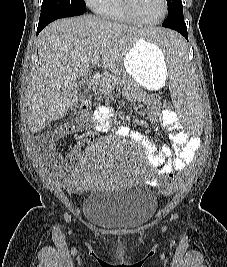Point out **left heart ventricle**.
<instances>
[{"mask_svg": "<svg viewBox=\"0 0 227 267\" xmlns=\"http://www.w3.org/2000/svg\"><path fill=\"white\" fill-rule=\"evenodd\" d=\"M133 6L138 16L146 21L159 19L163 12L162 0H134Z\"/></svg>", "mask_w": 227, "mask_h": 267, "instance_id": "1", "label": "left heart ventricle"}]
</instances>
